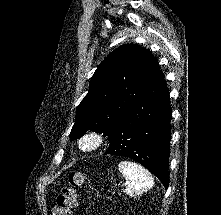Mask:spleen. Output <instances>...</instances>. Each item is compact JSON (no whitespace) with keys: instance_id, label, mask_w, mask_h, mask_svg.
I'll use <instances>...</instances> for the list:
<instances>
[{"instance_id":"3e777b00","label":"spleen","mask_w":221,"mask_h":215,"mask_svg":"<svg viewBox=\"0 0 221 215\" xmlns=\"http://www.w3.org/2000/svg\"><path fill=\"white\" fill-rule=\"evenodd\" d=\"M118 168L129 182L125 190L129 196L142 194L152 188L154 184L152 176L139 164L131 161H121Z\"/></svg>"}]
</instances>
